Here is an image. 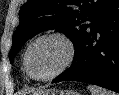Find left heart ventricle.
<instances>
[{"label": "left heart ventricle", "instance_id": "1", "mask_svg": "<svg viewBox=\"0 0 119 95\" xmlns=\"http://www.w3.org/2000/svg\"><path fill=\"white\" fill-rule=\"evenodd\" d=\"M67 55L65 44L56 38L37 42L29 53V67L36 76L44 77L55 72Z\"/></svg>", "mask_w": 119, "mask_h": 95}]
</instances>
